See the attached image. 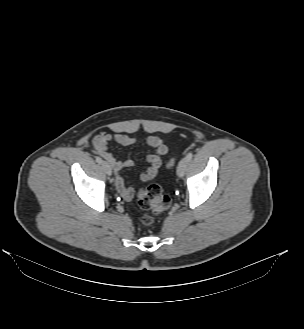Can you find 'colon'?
<instances>
[{
  "label": "colon",
  "instance_id": "obj_1",
  "mask_svg": "<svg viewBox=\"0 0 304 329\" xmlns=\"http://www.w3.org/2000/svg\"><path fill=\"white\" fill-rule=\"evenodd\" d=\"M175 159H171L168 166H172ZM137 203L143 210H151L158 214L166 211L171 205V198L168 194L163 193L161 189L156 185L140 189L137 194ZM141 221L144 225H151L154 218L150 214H144L141 217Z\"/></svg>",
  "mask_w": 304,
  "mask_h": 329
}]
</instances>
